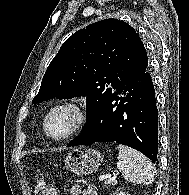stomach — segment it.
<instances>
[{
	"instance_id": "obj_1",
	"label": "stomach",
	"mask_w": 189,
	"mask_h": 195,
	"mask_svg": "<svg viewBox=\"0 0 189 195\" xmlns=\"http://www.w3.org/2000/svg\"><path fill=\"white\" fill-rule=\"evenodd\" d=\"M103 154L92 148H77L64 159V168L77 175H88L96 172L103 162Z\"/></svg>"
}]
</instances>
